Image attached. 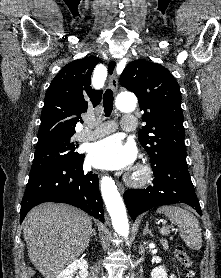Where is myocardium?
<instances>
[{
	"label": "myocardium",
	"instance_id": "f54148a6",
	"mask_svg": "<svg viewBox=\"0 0 221 278\" xmlns=\"http://www.w3.org/2000/svg\"><path fill=\"white\" fill-rule=\"evenodd\" d=\"M152 179V169L149 165L138 164L127 176V182L133 187H142Z\"/></svg>",
	"mask_w": 221,
	"mask_h": 278
}]
</instances>
